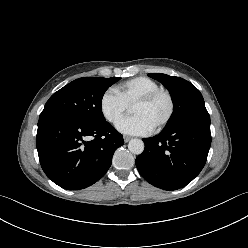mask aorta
Instances as JSON below:
<instances>
[{"mask_svg": "<svg viewBox=\"0 0 248 248\" xmlns=\"http://www.w3.org/2000/svg\"><path fill=\"white\" fill-rule=\"evenodd\" d=\"M128 149L131 153L139 155L144 151V142L141 139H132L128 143Z\"/></svg>", "mask_w": 248, "mask_h": 248, "instance_id": "1", "label": "aorta"}]
</instances>
